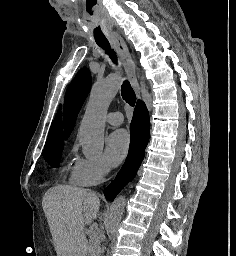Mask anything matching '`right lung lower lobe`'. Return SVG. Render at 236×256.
<instances>
[{"instance_id": "obj_1", "label": "right lung lower lobe", "mask_w": 236, "mask_h": 256, "mask_svg": "<svg viewBox=\"0 0 236 256\" xmlns=\"http://www.w3.org/2000/svg\"><path fill=\"white\" fill-rule=\"evenodd\" d=\"M130 131V148L126 161L114 181L104 189V195L110 201H113L116 195L134 179L145 155L150 135V122L148 110L142 101L137 102Z\"/></svg>"}]
</instances>
